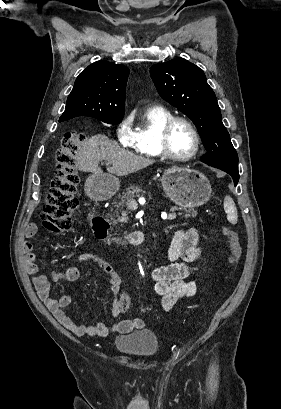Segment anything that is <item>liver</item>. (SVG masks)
Returning <instances> with one entry per match:
<instances>
[{
	"label": "liver",
	"instance_id": "liver-1",
	"mask_svg": "<svg viewBox=\"0 0 281 409\" xmlns=\"http://www.w3.org/2000/svg\"><path fill=\"white\" fill-rule=\"evenodd\" d=\"M74 158L78 170L93 172V174H105L98 166V162L107 160L112 164V166H107V174L111 172L112 176L113 174L126 176L130 172H136L155 162L154 158H149V156H141V154H134L131 150L119 148L116 144H112L105 134H94L88 138L79 150H76Z\"/></svg>",
	"mask_w": 281,
	"mask_h": 409
}]
</instances>
